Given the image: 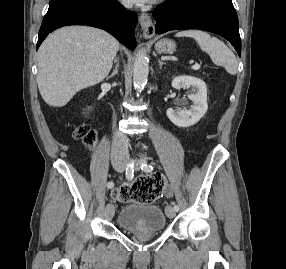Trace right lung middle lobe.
<instances>
[{
	"label": "right lung middle lobe",
	"instance_id": "dd1d6c3e",
	"mask_svg": "<svg viewBox=\"0 0 286 269\" xmlns=\"http://www.w3.org/2000/svg\"><path fill=\"white\" fill-rule=\"evenodd\" d=\"M69 1L71 0H50L49 8L69 2ZM94 1L106 7H111L116 2V0H94Z\"/></svg>",
	"mask_w": 286,
	"mask_h": 269
}]
</instances>
